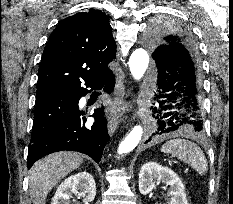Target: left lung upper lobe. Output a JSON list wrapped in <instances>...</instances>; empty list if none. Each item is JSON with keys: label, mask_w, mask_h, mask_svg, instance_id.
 Wrapping results in <instances>:
<instances>
[{"label": "left lung upper lobe", "mask_w": 233, "mask_h": 204, "mask_svg": "<svg viewBox=\"0 0 233 204\" xmlns=\"http://www.w3.org/2000/svg\"><path fill=\"white\" fill-rule=\"evenodd\" d=\"M150 48L153 50L152 56L157 61V54L163 49H178L190 56L199 74L201 75V67L197 48L191 34L183 28L172 26L169 24L154 25L147 38Z\"/></svg>", "instance_id": "5c2ea615"}]
</instances>
